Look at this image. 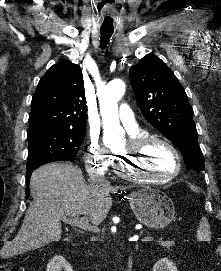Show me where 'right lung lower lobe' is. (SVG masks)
I'll return each instance as SVG.
<instances>
[{"label": "right lung lower lobe", "instance_id": "1", "mask_svg": "<svg viewBox=\"0 0 221 271\" xmlns=\"http://www.w3.org/2000/svg\"><path fill=\"white\" fill-rule=\"evenodd\" d=\"M33 170H27L26 172V195L29 196L30 191H29V180L30 176L32 174Z\"/></svg>", "mask_w": 221, "mask_h": 271}]
</instances>
